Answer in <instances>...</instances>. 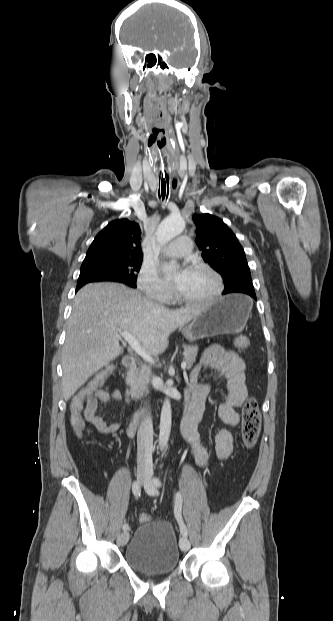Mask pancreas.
<instances>
[{
    "mask_svg": "<svg viewBox=\"0 0 333 621\" xmlns=\"http://www.w3.org/2000/svg\"><path fill=\"white\" fill-rule=\"evenodd\" d=\"M198 352V346L194 345H185L184 346V360L187 362V368H191L196 360ZM150 376V368L147 366H142L140 369H137L131 372V387L134 392V396L139 398L142 396L143 392L147 390V384L149 383Z\"/></svg>",
    "mask_w": 333,
    "mask_h": 621,
    "instance_id": "cf45deb5",
    "label": "pancreas"
}]
</instances>
